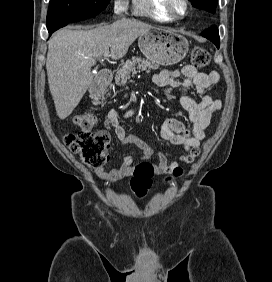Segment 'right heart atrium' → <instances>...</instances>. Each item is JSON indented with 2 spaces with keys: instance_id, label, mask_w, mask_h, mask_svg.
<instances>
[{
  "instance_id": "obj_1",
  "label": "right heart atrium",
  "mask_w": 272,
  "mask_h": 282,
  "mask_svg": "<svg viewBox=\"0 0 272 282\" xmlns=\"http://www.w3.org/2000/svg\"><path fill=\"white\" fill-rule=\"evenodd\" d=\"M128 11L127 0H113L112 12L116 18L122 17Z\"/></svg>"
}]
</instances>
